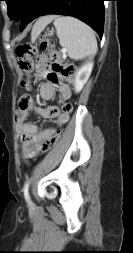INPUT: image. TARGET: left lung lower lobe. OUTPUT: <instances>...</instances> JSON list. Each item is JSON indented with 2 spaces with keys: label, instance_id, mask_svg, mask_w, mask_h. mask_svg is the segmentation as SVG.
Here are the masks:
<instances>
[{
  "label": "left lung lower lobe",
  "instance_id": "0a47b994",
  "mask_svg": "<svg viewBox=\"0 0 133 253\" xmlns=\"http://www.w3.org/2000/svg\"><path fill=\"white\" fill-rule=\"evenodd\" d=\"M104 1L106 0H30L28 9L21 19L20 31L39 16L62 14L85 22L102 37Z\"/></svg>",
  "mask_w": 133,
  "mask_h": 253
}]
</instances>
